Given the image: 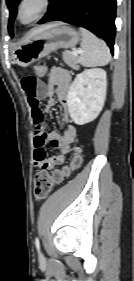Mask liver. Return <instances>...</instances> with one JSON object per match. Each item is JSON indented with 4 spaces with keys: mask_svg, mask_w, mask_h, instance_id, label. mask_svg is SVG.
<instances>
[{
    "mask_svg": "<svg viewBox=\"0 0 134 281\" xmlns=\"http://www.w3.org/2000/svg\"><path fill=\"white\" fill-rule=\"evenodd\" d=\"M52 26H53L52 24H50V25H44V26H41V27H39V28H37V29L32 30L31 33L28 35V37H27L26 40L32 38L33 36H35V35H37V34L43 32V31H45L46 29H48V28H50V27H52Z\"/></svg>",
    "mask_w": 134,
    "mask_h": 281,
    "instance_id": "liver-1",
    "label": "liver"
}]
</instances>
